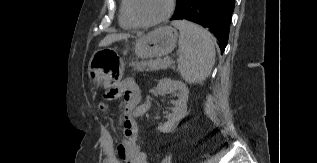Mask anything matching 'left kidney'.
Returning a JSON list of instances; mask_svg holds the SVG:
<instances>
[{"mask_svg":"<svg viewBox=\"0 0 317 163\" xmlns=\"http://www.w3.org/2000/svg\"><path fill=\"white\" fill-rule=\"evenodd\" d=\"M157 89L161 93L173 91L178 97V100L174 101L173 113L167 116V122L160 124L157 128L160 132L169 133L176 129L180 120L186 115L189 91L183 82L169 78L161 79Z\"/></svg>","mask_w":317,"mask_h":163,"instance_id":"1","label":"left kidney"}]
</instances>
